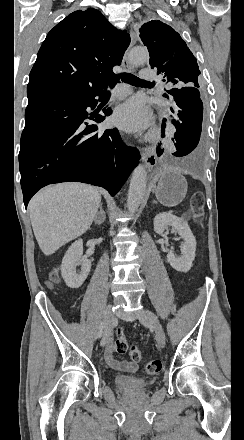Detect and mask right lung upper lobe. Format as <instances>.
Listing matches in <instances>:
<instances>
[{"label": "right lung upper lobe", "mask_w": 244, "mask_h": 440, "mask_svg": "<svg viewBox=\"0 0 244 440\" xmlns=\"http://www.w3.org/2000/svg\"><path fill=\"white\" fill-rule=\"evenodd\" d=\"M130 43L99 10H78L47 35L30 72L28 99L75 96L103 85L115 74Z\"/></svg>", "instance_id": "right-lung-upper-lobe-1"}]
</instances>
